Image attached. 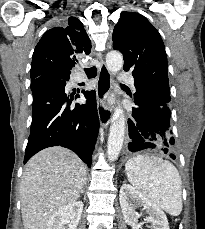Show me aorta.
I'll use <instances>...</instances> for the list:
<instances>
[{
  "label": "aorta",
  "instance_id": "obj_1",
  "mask_svg": "<svg viewBox=\"0 0 205 229\" xmlns=\"http://www.w3.org/2000/svg\"><path fill=\"white\" fill-rule=\"evenodd\" d=\"M106 66L115 75L123 67V57L118 51H110L106 55ZM125 136V117L121 107H117L111 119L110 133L107 142V155L110 162L115 161L122 149Z\"/></svg>",
  "mask_w": 205,
  "mask_h": 229
}]
</instances>
